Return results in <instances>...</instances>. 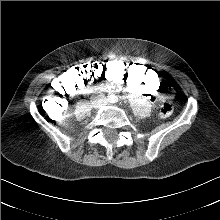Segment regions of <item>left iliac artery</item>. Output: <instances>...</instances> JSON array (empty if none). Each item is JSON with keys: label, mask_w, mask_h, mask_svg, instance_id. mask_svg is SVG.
<instances>
[{"label": "left iliac artery", "mask_w": 220, "mask_h": 220, "mask_svg": "<svg viewBox=\"0 0 220 220\" xmlns=\"http://www.w3.org/2000/svg\"><path fill=\"white\" fill-rule=\"evenodd\" d=\"M112 102H118V97L117 96H113L112 97Z\"/></svg>", "instance_id": "left-iliac-artery-1"}]
</instances>
